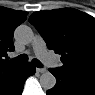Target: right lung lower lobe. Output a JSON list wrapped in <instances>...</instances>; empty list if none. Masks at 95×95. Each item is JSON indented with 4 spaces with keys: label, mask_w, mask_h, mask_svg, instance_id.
Segmentation results:
<instances>
[{
    "label": "right lung lower lobe",
    "mask_w": 95,
    "mask_h": 95,
    "mask_svg": "<svg viewBox=\"0 0 95 95\" xmlns=\"http://www.w3.org/2000/svg\"><path fill=\"white\" fill-rule=\"evenodd\" d=\"M36 69L31 63H24L20 74L7 86L0 88V95H21L25 80L35 73Z\"/></svg>",
    "instance_id": "obj_1"
}]
</instances>
